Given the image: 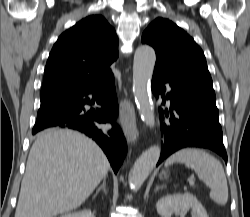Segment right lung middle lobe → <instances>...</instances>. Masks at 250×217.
Instances as JSON below:
<instances>
[{
	"label": "right lung middle lobe",
	"mask_w": 250,
	"mask_h": 217,
	"mask_svg": "<svg viewBox=\"0 0 250 217\" xmlns=\"http://www.w3.org/2000/svg\"><path fill=\"white\" fill-rule=\"evenodd\" d=\"M44 106H46V105H41V107H40V108H42V107H44Z\"/></svg>",
	"instance_id": "dd1d6c3e"
}]
</instances>
